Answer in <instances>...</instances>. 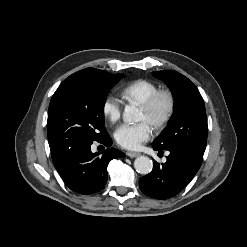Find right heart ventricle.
<instances>
[{"label": "right heart ventricle", "instance_id": "right-heart-ventricle-1", "mask_svg": "<svg viewBox=\"0 0 247 247\" xmlns=\"http://www.w3.org/2000/svg\"><path fill=\"white\" fill-rule=\"evenodd\" d=\"M158 90L159 87L154 82L146 79H137L127 84L122 89L121 95L128 102L140 105Z\"/></svg>", "mask_w": 247, "mask_h": 247}]
</instances>
